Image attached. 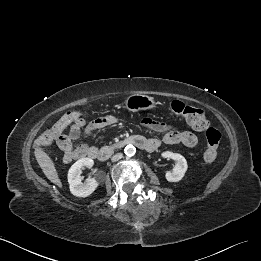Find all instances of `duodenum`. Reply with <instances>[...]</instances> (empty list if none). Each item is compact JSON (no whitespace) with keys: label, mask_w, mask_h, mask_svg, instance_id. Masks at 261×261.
I'll return each mask as SVG.
<instances>
[{"label":"duodenum","mask_w":261,"mask_h":261,"mask_svg":"<svg viewBox=\"0 0 261 261\" xmlns=\"http://www.w3.org/2000/svg\"><path fill=\"white\" fill-rule=\"evenodd\" d=\"M129 144H132L140 148L141 150L148 151V152L154 151L157 148V144L154 141L145 139L139 135H134L125 138L113 145L106 146L101 150L90 152L89 155L92 158H95L99 161H106L112 156L113 153L124 148L126 145Z\"/></svg>","instance_id":"duodenum-1"}]
</instances>
